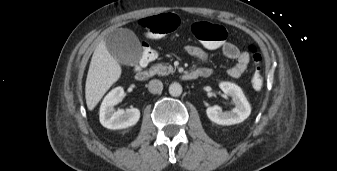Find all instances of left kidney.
<instances>
[{
	"mask_svg": "<svg viewBox=\"0 0 337 171\" xmlns=\"http://www.w3.org/2000/svg\"><path fill=\"white\" fill-rule=\"evenodd\" d=\"M221 90L232 98L235 108L223 112L221 107L215 105L206 109L208 118L219 125H233L243 122L251 113V107L242 89L230 82L220 83Z\"/></svg>",
	"mask_w": 337,
	"mask_h": 171,
	"instance_id": "1",
	"label": "left kidney"
}]
</instances>
